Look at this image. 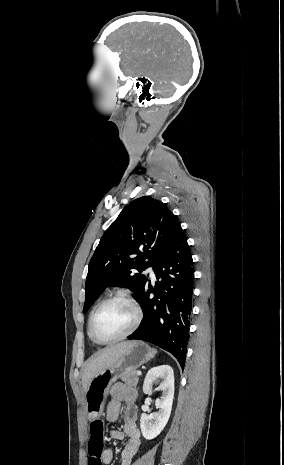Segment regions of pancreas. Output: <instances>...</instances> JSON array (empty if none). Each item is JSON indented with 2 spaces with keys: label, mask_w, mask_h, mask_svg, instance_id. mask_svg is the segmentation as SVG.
Segmentation results:
<instances>
[{
  "label": "pancreas",
  "mask_w": 284,
  "mask_h": 465,
  "mask_svg": "<svg viewBox=\"0 0 284 465\" xmlns=\"http://www.w3.org/2000/svg\"><path fill=\"white\" fill-rule=\"evenodd\" d=\"M120 379H122V381H124L125 385H128V387H137V383L139 381L137 371L122 373V375H120Z\"/></svg>",
  "instance_id": "pancreas-1"
}]
</instances>
